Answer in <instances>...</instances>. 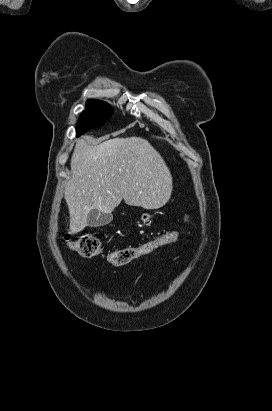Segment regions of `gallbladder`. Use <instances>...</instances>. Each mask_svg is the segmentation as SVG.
Returning <instances> with one entry per match:
<instances>
[{"instance_id": "1", "label": "gallbladder", "mask_w": 272, "mask_h": 411, "mask_svg": "<svg viewBox=\"0 0 272 411\" xmlns=\"http://www.w3.org/2000/svg\"><path fill=\"white\" fill-rule=\"evenodd\" d=\"M111 221V215L102 214L97 209H92L87 216V224L90 227L104 226Z\"/></svg>"}]
</instances>
